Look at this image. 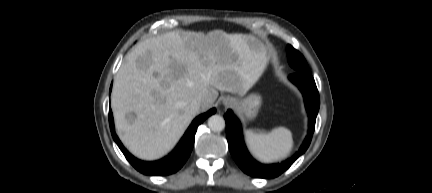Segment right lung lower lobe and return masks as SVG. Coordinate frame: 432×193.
<instances>
[{
  "label": "right lung lower lobe",
  "mask_w": 432,
  "mask_h": 193,
  "mask_svg": "<svg viewBox=\"0 0 432 193\" xmlns=\"http://www.w3.org/2000/svg\"><path fill=\"white\" fill-rule=\"evenodd\" d=\"M111 92V88H110ZM215 109L209 110L207 113H204L193 120L184 136L180 140L177 147L174 149L172 153H170L167 157L155 161V162H144L136 159L132 156L122 145L119 138L117 137L114 131V122L113 115L111 109H109V123L110 130L113 136L114 141L117 143L120 150L125 155L126 159L141 173L148 175H168L178 171L188 159L193 145L194 138L197 127L201 124L207 117L215 113Z\"/></svg>",
  "instance_id": "obj_1"
}]
</instances>
